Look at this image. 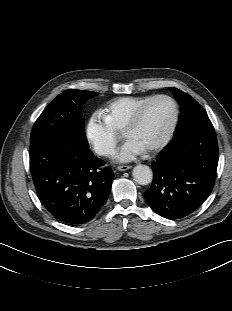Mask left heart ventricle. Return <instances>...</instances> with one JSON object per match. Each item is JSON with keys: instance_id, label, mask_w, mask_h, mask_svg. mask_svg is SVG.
I'll return each instance as SVG.
<instances>
[{"instance_id": "b2bd125f", "label": "left heart ventricle", "mask_w": 232, "mask_h": 311, "mask_svg": "<svg viewBox=\"0 0 232 311\" xmlns=\"http://www.w3.org/2000/svg\"><path fill=\"white\" fill-rule=\"evenodd\" d=\"M172 117V104L168 100H157L147 108L142 120L127 135V139L136 141L146 150L163 137Z\"/></svg>"}]
</instances>
